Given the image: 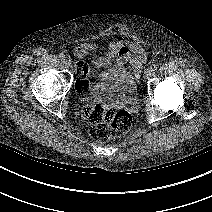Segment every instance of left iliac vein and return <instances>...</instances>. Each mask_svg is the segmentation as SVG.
I'll return each instance as SVG.
<instances>
[{
	"mask_svg": "<svg viewBox=\"0 0 212 212\" xmlns=\"http://www.w3.org/2000/svg\"><path fill=\"white\" fill-rule=\"evenodd\" d=\"M150 76H151V70L148 69V70L145 71L143 78H144L145 80H147V79L150 78Z\"/></svg>",
	"mask_w": 212,
	"mask_h": 212,
	"instance_id": "left-iliac-vein-1",
	"label": "left iliac vein"
}]
</instances>
